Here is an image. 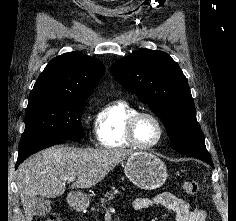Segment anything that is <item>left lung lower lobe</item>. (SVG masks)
<instances>
[{
    "mask_svg": "<svg viewBox=\"0 0 236 221\" xmlns=\"http://www.w3.org/2000/svg\"><path fill=\"white\" fill-rule=\"evenodd\" d=\"M194 157V156H193ZM195 158H198V159H201V160H203V161H205V162H207V163H209L210 165H212L213 166V162H212V160H211V157H210V155L208 156V157H195Z\"/></svg>",
    "mask_w": 236,
    "mask_h": 221,
    "instance_id": "0a47b994",
    "label": "left lung lower lobe"
}]
</instances>
